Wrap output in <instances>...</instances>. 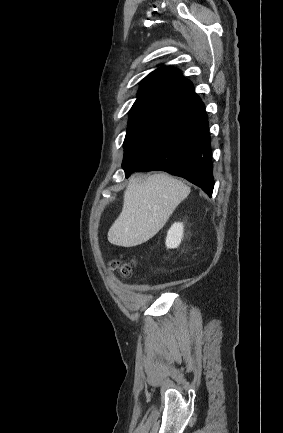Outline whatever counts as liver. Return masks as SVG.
Segmentation results:
<instances>
[{"label":"liver","mask_w":283,"mask_h":433,"mask_svg":"<svg viewBox=\"0 0 283 433\" xmlns=\"http://www.w3.org/2000/svg\"><path fill=\"white\" fill-rule=\"evenodd\" d=\"M190 192V186L165 172L141 180L131 176L124 192L122 212L108 231V241L118 247H136L152 239L170 214Z\"/></svg>","instance_id":"obj_1"}]
</instances>
